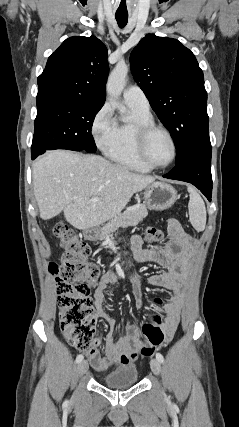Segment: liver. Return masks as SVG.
Wrapping results in <instances>:
<instances>
[{"mask_svg":"<svg viewBox=\"0 0 239 427\" xmlns=\"http://www.w3.org/2000/svg\"><path fill=\"white\" fill-rule=\"evenodd\" d=\"M33 187L40 217L62 211L75 228L100 226L119 214L134 193L154 182L98 155L56 150L33 164Z\"/></svg>","mask_w":239,"mask_h":427,"instance_id":"1","label":"liver"}]
</instances>
